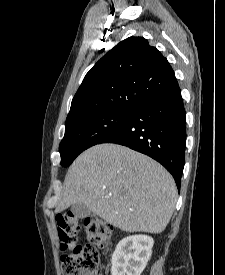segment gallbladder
<instances>
[{
	"mask_svg": "<svg viewBox=\"0 0 225 275\" xmlns=\"http://www.w3.org/2000/svg\"><path fill=\"white\" fill-rule=\"evenodd\" d=\"M71 211L78 218H84L91 214V211L83 203L73 204Z\"/></svg>",
	"mask_w": 225,
	"mask_h": 275,
	"instance_id": "bac80fb5",
	"label": "gallbladder"
}]
</instances>
